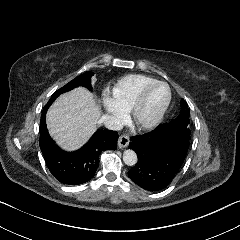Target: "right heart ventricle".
I'll list each match as a JSON object with an SVG mask.
<instances>
[{"mask_svg":"<svg viewBox=\"0 0 240 240\" xmlns=\"http://www.w3.org/2000/svg\"><path fill=\"white\" fill-rule=\"evenodd\" d=\"M155 82L142 75H128L106 88L104 102L108 107L116 108L122 112L128 111L135 104L145 87Z\"/></svg>","mask_w":240,"mask_h":240,"instance_id":"1","label":"right heart ventricle"}]
</instances>
